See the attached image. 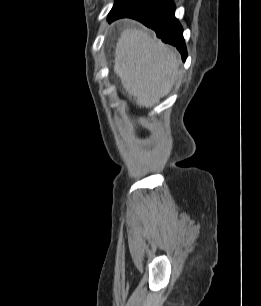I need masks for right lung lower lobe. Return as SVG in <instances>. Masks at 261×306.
I'll use <instances>...</instances> for the list:
<instances>
[{
    "mask_svg": "<svg viewBox=\"0 0 261 306\" xmlns=\"http://www.w3.org/2000/svg\"><path fill=\"white\" fill-rule=\"evenodd\" d=\"M175 5L172 0H132L117 11L110 12L108 21L119 18H132L155 30L163 42L175 46L187 58L183 39V29L174 16Z\"/></svg>",
    "mask_w": 261,
    "mask_h": 306,
    "instance_id": "98d812e1",
    "label": "right lung lower lobe"
}]
</instances>
